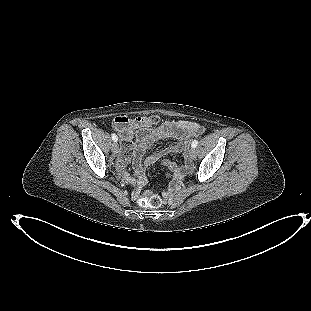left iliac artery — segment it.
Masks as SVG:
<instances>
[{
	"label": "left iliac artery",
	"mask_w": 311,
	"mask_h": 311,
	"mask_svg": "<svg viewBox=\"0 0 311 311\" xmlns=\"http://www.w3.org/2000/svg\"><path fill=\"white\" fill-rule=\"evenodd\" d=\"M197 145H198V141L197 140H193L192 143H191V146L193 148H195Z\"/></svg>",
	"instance_id": "44dca946"
}]
</instances>
